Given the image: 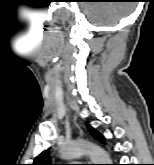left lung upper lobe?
Segmentation results:
<instances>
[{
	"mask_svg": "<svg viewBox=\"0 0 154 165\" xmlns=\"http://www.w3.org/2000/svg\"><path fill=\"white\" fill-rule=\"evenodd\" d=\"M88 130L90 131V133L92 134V136L101 141L102 143H104V137L97 132L94 128L92 127H88ZM32 165H52L51 164V159L48 153V150H45L43 152H41L35 159Z\"/></svg>",
	"mask_w": 154,
	"mask_h": 165,
	"instance_id": "left-lung-upper-lobe-1",
	"label": "left lung upper lobe"
}]
</instances>
